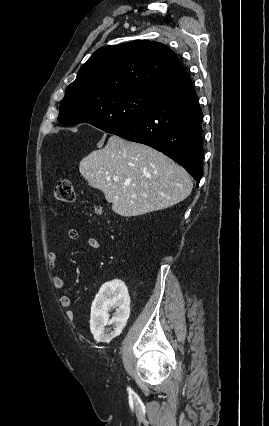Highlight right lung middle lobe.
<instances>
[{
    "label": "right lung middle lobe",
    "instance_id": "obj_1",
    "mask_svg": "<svg viewBox=\"0 0 269 426\" xmlns=\"http://www.w3.org/2000/svg\"><path fill=\"white\" fill-rule=\"evenodd\" d=\"M155 93L133 89L109 92L93 98L70 94L60 104L58 121L63 125L89 123L110 132L143 114L152 103Z\"/></svg>",
    "mask_w": 269,
    "mask_h": 426
}]
</instances>
